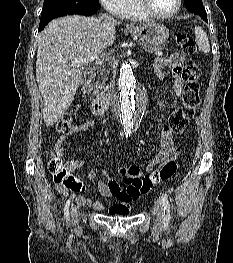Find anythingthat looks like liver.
I'll return each mask as SVG.
<instances>
[{
	"instance_id": "obj_1",
	"label": "liver",
	"mask_w": 233,
	"mask_h": 263,
	"mask_svg": "<svg viewBox=\"0 0 233 263\" xmlns=\"http://www.w3.org/2000/svg\"><path fill=\"white\" fill-rule=\"evenodd\" d=\"M116 24L72 15L51 21L39 34L36 80L43 97L46 126L55 124L65 113L79 87L82 73L72 61L103 55L115 41Z\"/></svg>"
}]
</instances>
